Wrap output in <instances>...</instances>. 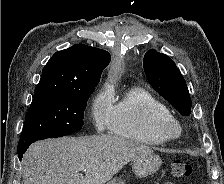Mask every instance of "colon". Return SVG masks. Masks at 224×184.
I'll return each instance as SVG.
<instances>
[{"mask_svg":"<svg viewBox=\"0 0 224 184\" xmlns=\"http://www.w3.org/2000/svg\"><path fill=\"white\" fill-rule=\"evenodd\" d=\"M171 176L175 181L188 178L192 173V167L181 160H174L170 164Z\"/></svg>","mask_w":224,"mask_h":184,"instance_id":"obj_1","label":"colon"}]
</instances>
